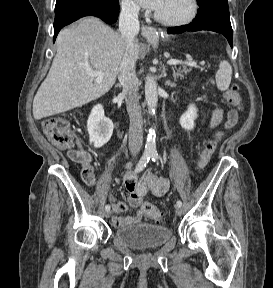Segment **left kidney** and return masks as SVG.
Instances as JSON below:
<instances>
[{
	"label": "left kidney",
	"instance_id": "5707ae66",
	"mask_svg": "<svg viewBox=\"0 0 273 288\" xmlns=\"http://www.w3.org/2000/svg\"><path fill=\"white\" fill-rule=\"evenodd\" d=\"M198 117L194 104L188 106L187 111L180 117V125L185 130H192L195 126V119Z\"/></svg>",
	"mask_w": 273,
	"mask_h": 288
}]
</instances>
